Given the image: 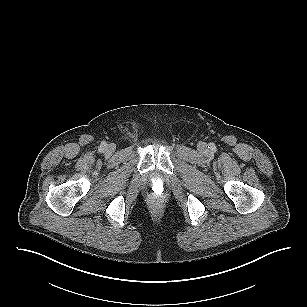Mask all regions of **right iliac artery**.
Instances as JSON below:
<instances>
[{
	"instance_id": "1",
	"label": "right iliac artery",
	"mask_w": 307,
	"mask_h": 307,
	"mask_svg": "<svg viewBox=\"0 0 307 307\" xmlns=\"http://www.w3.org/2000/svg\"><path fill=\"white\" fill-rule=\"evenodd\" d=\"M106 146V142H102L101 145H100V150H103Z\"/></svg>"
}]
</instances>
